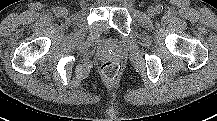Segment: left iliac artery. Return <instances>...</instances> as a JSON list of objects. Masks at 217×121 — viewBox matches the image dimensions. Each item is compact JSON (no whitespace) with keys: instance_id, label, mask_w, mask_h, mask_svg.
<instances>
[{"instance_id":"1","label":"left iliac artery","mask_w":217,"mask_h":121,"mask_svg":"<svg viewBox=\"0 0 217 121\" xmlns=\"http://www.w3.org/2000/svg\"><path fill=\"white\" fill-rule=\"evenodd\" d=\"M162 10H163V6H162V5H157V6H156V11H157V13L162 12Z\"/></svg>"}]
</instances>
